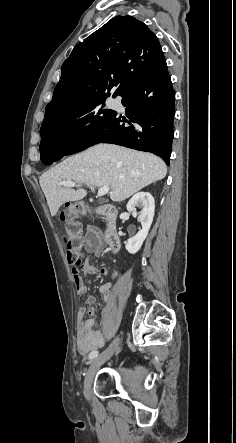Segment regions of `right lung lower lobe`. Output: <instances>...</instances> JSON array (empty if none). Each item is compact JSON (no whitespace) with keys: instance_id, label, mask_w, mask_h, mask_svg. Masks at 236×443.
<instances>
[{"instance_id":"obj_1","label":"right lung lower lobe","mask_w":236,"mask_h":443,"mask_svg":"<svg viewBox=\"0 0 236 443\" xmlns=\"http://www.w3.org/2000/svg\"><path fill=\"white\" fill-rule=\"evenodd\" d=\"M119 96L126 106L127 118L113 111L108 118L72 143L42 147V162L49 165L65 155L104 142L154 153L169 165L174 137L175 94L164 56Z\"/></svg>"}]
</instances>
